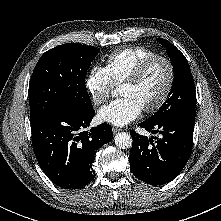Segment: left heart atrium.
Segmentation results:
<instances>
[{"label": "left heart atrium", "mask_w": 221, "mask_h": 221, "mask_svg": "<svg viewBox=\"0 0 221 221\" xmlns=\"http://www.w3.org/2000/svg\"><path fill=\"white\" fill-rule=\"evenodd\" d=\"M140 104L129 96H122L101 108L98 117L115 126H124L135 120L142 112Z\"/></svg>", "instance_id": "1"}]
</instances>
